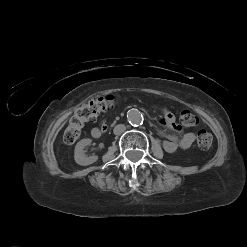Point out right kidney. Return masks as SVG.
<instances>
[{"label": "right kidney", "instance_id": "right-kidney-1", "mask_svg": "<svg viewBox=\"0 0 247 247\" xmlns=\"http://www.w3.org/2000/svg\"><path fill=\"white\" fill-rule=\"evenodd\" d=\"M92 142L91 139H82L80 140L76 146H75V151H74V159L75 162L81 166H87L90 164H93L98 160L97 156H89L86 157L84 153V148L88 145H90Z\"/></svg>", "mask_w": 247, "mask_h": 247}]
</instances>
